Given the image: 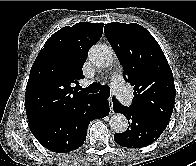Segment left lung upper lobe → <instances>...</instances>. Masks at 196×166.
<instances>
[{"label":"left lung upper lobe","mask_w":196,"mask_h":166,"mask_svg":"<svg viewBox=\"0 0 196 166\" xmlns=\"http://www.w3.org/2000/svg\"><path fill=\"white\" fill-rule=\"evenodd\" d=\"M104 31L124 68L126 81L134 86L129 108L168 124L175 103V85L157 41L136 23L112 22L105 25Z\"/></svg>","instance_id":"5c2ea615"}]
</instances>
